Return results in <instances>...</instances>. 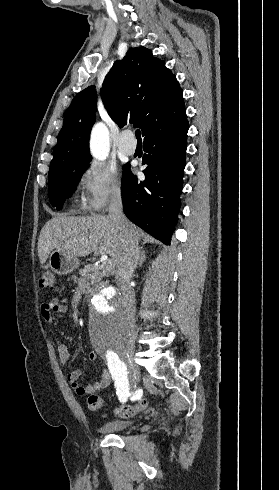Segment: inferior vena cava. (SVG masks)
<instances>
[{
  "instance_id": "602c4592",
  "label": "inferior vena cava",
  "mask_w": 279,
  "mask_h": 490,
  "mask_svg": "<svg viewBox=\"0 0 279 490\" xmlns=\"http://www.w3.org/2000/svg\"><path fill=\"white\" fill-rule=\"evenodd\" d=\"M108 218L109 220H112L114 226H117L119 230L129 228V222L123 214L121 192H114L112 198H110ZM124 234L126 236L124 254L122 256V260L115 264V282L123 298V304L130 330H134L136 300L134 290H132L130 286V280L138 264L140 250L138 246V238L132 234L131 230H124Z\"/></svg>"
}]
</instances>
